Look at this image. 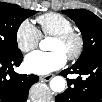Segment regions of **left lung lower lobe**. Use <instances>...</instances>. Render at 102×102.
Returning <instances> with one entry per match:
<instances>
[{"mask_svg":"<svg viewBox=\"0 0 102 102\" xmlns=\"http://www.w3.org/2000/svg\"><path fill=\"white\" fill-rule=\"evenodd\" d=\"M73 73L79 74V77L76 80L67 79L68 88L56 96V102H101L102 58L82 60L60 74L66 76Z\"/></svg>","mask_w":102,"mask_h":102,"instance_id":"obj_1","label":"left lung lower lobe"}]
</instances>
